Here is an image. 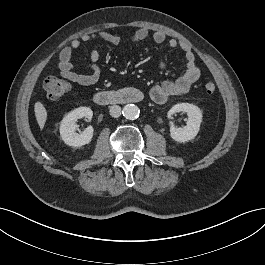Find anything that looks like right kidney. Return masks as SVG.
Wrapping results in <instances>:
<instances>
[{"instance_id":"obj_1","label":"right kidney","mask_w":265,"mask_h":265,"mask_svg":"<svg viewBox=\"0 0 265 265\" xmlns=\"http://www.w3.org/2000/svg\"><path fill=\"white\" fill-rule=\"evenodd\" d=\"M93 112L89 107H79L69 112L60 123V135L65 144L81 147L90 143L93 137V128L89 126L81 134L75 132L76 121L80 118L92 119Z\"/></svg>"}]
</instances>
